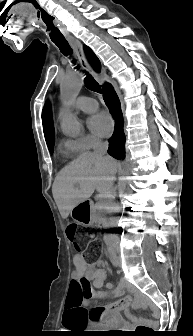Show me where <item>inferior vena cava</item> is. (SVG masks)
Segmentation results:
<instances>
[{
  "mask_svg": "<svg viewBox=\"0 0 193 336\" xmlns=\"http://www.w3.org/2000/svg\"><path fill=\"white\" fill-rule=\"evenodd\" d=\"M93 149H94V153L100 156H103L104 157L103 159L105 161L109 158V156H107L108 142H102L99 139H95L93 142ZM109 167L112 169L114 166L111 164ZM114 175H116V172H112L108 178V184L110 187L109 195L113 199L115 198V191L113 189V181L115 179Z\"/></svg>",
  "mask_w": 193,
  "mask_h": 336,
  "instance_id": "602c4592",
  "label": "inferior vena cava"
}]
</instances>
